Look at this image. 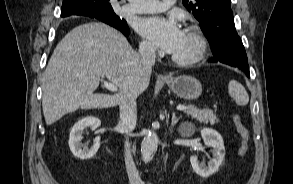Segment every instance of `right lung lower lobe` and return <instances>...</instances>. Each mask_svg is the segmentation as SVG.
I'll return each instance as SVG.
<instances>
[{"label": "right lung lower lobe", "instance_id": "right-lung-lower-lobe-1", "mask_svg": "<svg viewBox=\"0 0 293 184\" xmlns=\"http://www.w3.org/2000/svg\"><path fill=\"white\" fill-rule=\"evenodd\" d=\"M89 17H92V18H97L99 19L100 21L104 22V23H107L109 24L110 26H113L115 27L116 29L120 30L124 35H129V28L127 26V23L125 20H109V19H106V18H103L102 16L100 15H96V16H89Z\"/></svg>", "mask_w": 293, "mask_h": 184}]
</instances>
